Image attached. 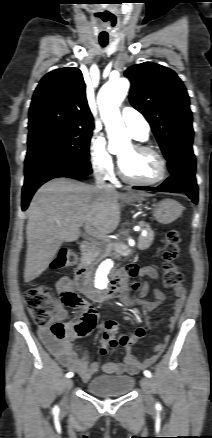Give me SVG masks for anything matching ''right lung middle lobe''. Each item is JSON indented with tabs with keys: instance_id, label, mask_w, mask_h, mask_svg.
Listing matches in <instances>:
<instances>
[{
	"instance_id": "1",
	"label": "right lung middle lobe",
	"mask_w": 212,
	"mask_h": 438,
	"mask_svg": "<svg viewBox=\"0 0 212 438\" xmlns=\"http://www.w3.org/2000/svg\"><path fill=\"white\" fill-rule=\"evenodd\" d=\"M92 129L45 126L29 131L26 158L89 161Z\"/></svg>"
}]
</instances>
